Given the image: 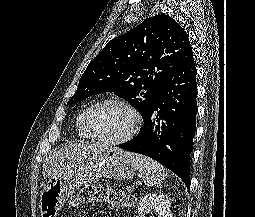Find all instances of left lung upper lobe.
I'll list each match as a JSON object with an SVG mask.
<instances>
[{
    "label": "left lung upper lobe",
    "mask_w": 255,
    "mask_h": 217,
    "mask_svg": "<svg viewBox=\"0 0 255 217\" xmlns=\"http://www.w3.org/2000/svg\"><path fill=\"white\" fill-rule=\"evenodd\" d=\"M191 50L187 33L173 18L152 16L105 46L87 66L67 105L115 92L144 119L165 77Z\"/></svg>",
    "instance_id": "1"
}]
</instances>
